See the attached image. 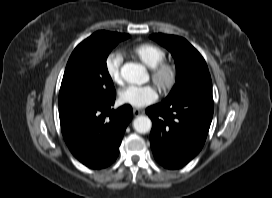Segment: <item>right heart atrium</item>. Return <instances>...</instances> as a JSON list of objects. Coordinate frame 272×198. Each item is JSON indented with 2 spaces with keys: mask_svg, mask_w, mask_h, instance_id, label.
<instances>
[{
  "mask_svg": "<svg viewBox=\"0 0 272 198\" xmlns=\"http://www.w3.org/2000/svg\"><path fill=\"white\" fill-rule=\"evenodd\" d=\"M123 61V55L119 51L110 52L105 59V71L109 79L119 84L122 81L121 77V65Z\"/></svg>",
  "mask_w": 272,
  "mask_h": 198,
  "instance_id": "1",
  "label": "right heart atrium"
}]
</instances>
